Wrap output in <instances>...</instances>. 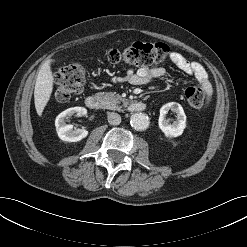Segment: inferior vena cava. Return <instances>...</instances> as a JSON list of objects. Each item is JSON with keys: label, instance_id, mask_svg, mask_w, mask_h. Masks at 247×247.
<instances>
[{"label": "inferior vena cava", "instance_id": "obj_1", "mask_svg": "<svg viewBox=\"0 0 247 247\" xmlns=\"http://www.w3.org/2000/svg\"><path fill=\"white\" fill-rule=\"evenodd\" d=\"M107 118L111 125H119L121 123V117L118 113L110 112L108 113Z\"/></svg>", "mask_w": 247, "mask_h": 247}]
</instances>
